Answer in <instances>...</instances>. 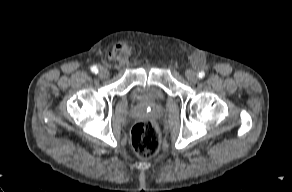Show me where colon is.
Listing matches in <instances>:
<instances>
[{"label": "colon", "instance_id": "colon-1", "mask_svg": "<svg viewBox=\"0 0 292 192\" xmlns=\"http://www.w3.org/2000/svg\"><path fill=\"white\" fill-rule=\"evenodd\" d=\"M131 143L138 157L148 159L159 151L160 135L152 122L148 120L141 121L132 129Z\"/></svg>", "mask_w": 292, "mask_h": 192}]
</instances>
